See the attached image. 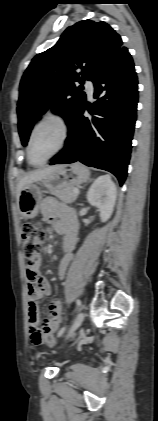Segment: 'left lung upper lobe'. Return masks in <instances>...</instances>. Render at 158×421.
Listing matches in <instances>:
<instances>
[{
	"mask_svg": "<svg viewBox=\"0 0 158 421\" xmlns=\"http://www.w3.org/2000/svg\"><path fill=\"white\" fill-rule=\"evenodd\" d=\"M121 47V37L107 23L83 20L68 27L52 48L36 55L20 83L17 112L22 144H27L34 124L51 107L70 126L86 103L76 83L94 81Z\"/></svg>",
	"mask_w": 158,
	"mask_h": 421,
	"instance_id": "left-lung-upper-lobe-1",
	"label": "left lung upper lobe"
}]
</instances>
